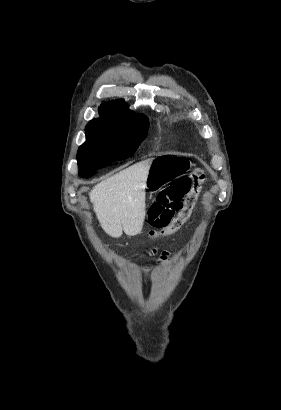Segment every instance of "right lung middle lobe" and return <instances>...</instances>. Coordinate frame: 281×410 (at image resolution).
<instances>
[{
    "mask_svg": "<svg viewBox=\"0 0 281 410\" xmlns=\"http://www.w3.org/2000/svg\"><path fill=\"white\" fill-rule=\"evenodd\" d=\"M148 126L146 117L123 123L90 121L77 154L80 176L88 178L96 169L129 158L147 136Z\"/></svg>",
    "mask_w": 281,
    "mask_h": 410,
    "instance_id": "right-lung-middle-lobe-1",
    "label": "right lung middle lobe"
}]
</instances>
